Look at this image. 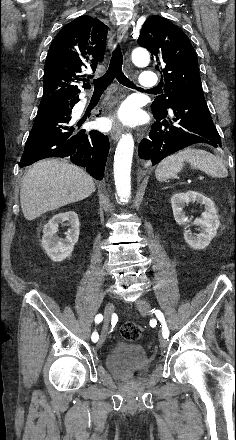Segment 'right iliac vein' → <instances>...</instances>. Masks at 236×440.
I'll use <instances>...</instances> for the list:
<instances>
[{
  "label": "right iliac vein",
  "instance_id": "right-iliac-vein-1",
  "mask_svg": "<svg viewBox=\"0 0 236 440\" xmlns=\"http://www.w3.org/2000/svg\"><path fill=\"white\" fill-rule=\"evenodd\" d=\"M113 312H114V304L111 302L107 303L105 306V309H104V324H103L101 336H100V339L98 342V344L100 346L104 343V341L106 339L108 327H109V321H110V318H111V315L113 314Z\"/></svg>",
  "mask_w": 236,
  "mask_h": 440
}]
</instances>
